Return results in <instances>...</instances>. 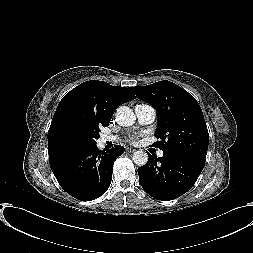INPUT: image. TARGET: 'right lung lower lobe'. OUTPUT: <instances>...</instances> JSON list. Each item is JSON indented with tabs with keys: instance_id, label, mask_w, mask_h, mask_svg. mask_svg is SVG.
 <instances>
[{
	"instance_id": "right-lung-lower-lobe-1",
	"label": "right lung lower lobe",
	"mask_w": 253,
	"mask_h": 253,
	"mask_svg": "<svg viewBox=\"0 0 253 253\" xmlns=\"http://www.w3.org/2000/svg\"><path fill=\"white\" fill-rule=\"evenodd\" d=\"M123 153L124 147L120 145L106 152L93 145L63 150L49 156V163L58 183L68 194L91 201L107 191L113 163Z\"/></svg>"
}]
</instances>
